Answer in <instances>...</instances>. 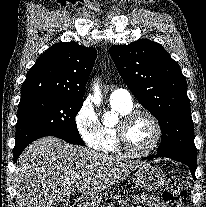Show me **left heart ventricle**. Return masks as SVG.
Segmentation results:
<instances>
[{"label":"left heart ventricle","instance_id":"b2bd125f","mask_svg":"<svg viewBox=\"0 0 206 207\" xmlns=\"http://www.w3.org/2000/svg\"><path fill=\"white\" fill-rule=\"evenodd\" d=\"M155 137V128L147 117H139L132 121L127 129L130 147L137 151L147 149Z\"/></svg>","mask_w":206,"mask_h":207}]
</instances>
